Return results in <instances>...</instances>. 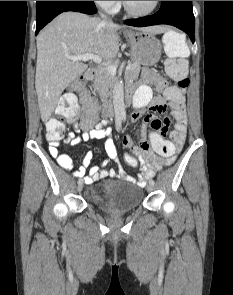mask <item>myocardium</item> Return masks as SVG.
I'll list each match as a JSON object with an SVG mask.
<instances>
[{"label": "myocardium", "instance_id": "f54148a6", "mask_svg": "<svg viewBox=\"0 0 233 295\" xmlns=\"http://www.w3.org/2000/svg\"><path fill=\"white\" fill-rule=\"evenodd\" d=\"M121 4H122V7L124 8L125 12L127 14H129L130 16H133V17H147V16L153 14L157 10V8H158V6L160 4V1H155L152 8L149 9L148 11H146V12H136V11L132 10L129 7L127 1H121Z\"/></svg>", "mask_w": 233, "mask_h": 295}]
</instances>
